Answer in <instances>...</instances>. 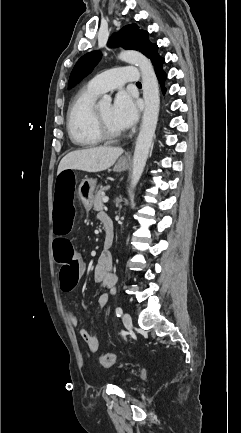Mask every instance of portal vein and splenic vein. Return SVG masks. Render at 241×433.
Masks as SVG:
<instances>
[{
	"label": "portal vein and splenic vein",
	"instance_id": "portal-vein-and-splenic-vein-1",
	"mask_svg": "<svg viewBox=\"0 0 241 433\" xmlns=\"http://www.w3.org/2000/svg\"><path fill=\"white\" fill-rule=\"evenodd\" d=\"M109 201V198L107 197V196H105L104 198H103V203H107Z\"/></svg>",
	"mask_w": 241,
	"mask_h": 433
}]
</instances>
